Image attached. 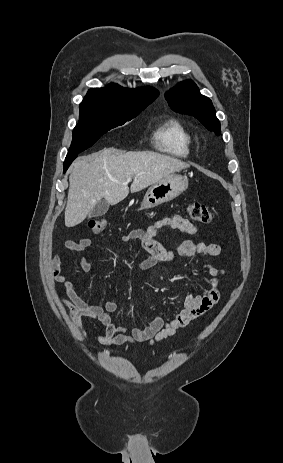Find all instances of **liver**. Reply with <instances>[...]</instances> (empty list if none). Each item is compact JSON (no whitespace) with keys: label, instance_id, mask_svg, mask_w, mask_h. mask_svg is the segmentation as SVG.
I'll use <instances>...</instances> for the list:
<instances>
[{"label":"liver","instance_id":"1","mask_svg":"<svg viewBox=\"0 0 283 463\" xmlns=\"http://www.w3.org/2000/svg\"><path fill=\"white\" fill-rule=\"evenodd\" d=\"M188 167L179 159L151 151L120 154L105 148L78 157L70 167L65 225L83 222L102 199L111 205L124 200L129 194V178H133L130 191L135 193Z\"/></svg>","mask_w":283,"mask_h":463}]
</instances>
